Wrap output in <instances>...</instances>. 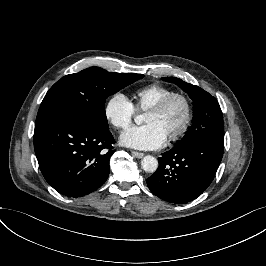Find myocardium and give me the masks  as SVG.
<instances>
[{
    "instance_id": "1",
    "label": "myocardium",
    "mask_w": 266,
    "mask_h": 266,
    "mask_svg": "<svg viewBox=\"0 0 266 266\" xmlns=\"http://www.w3.org/2000/svg\"><path fill=\"white\" fill-rule=\"evenodd\" d=\"M175 99H181L184 101L187 108V115L180 129L174 135L167 137L170 142L179 141L186 134L192 124L194 118V106L191 98L183 92L174 91L147 109L148 111L164 112Z\"/></svg>"
}]
</instances>
